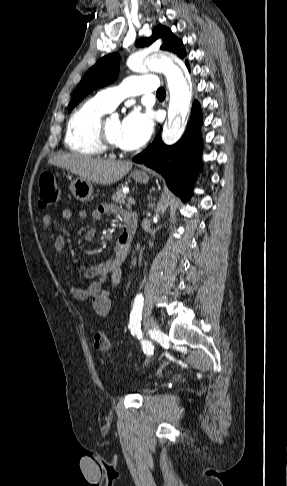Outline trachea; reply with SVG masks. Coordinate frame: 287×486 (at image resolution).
Wrapping results in <instances>:
<instances>
[{"instance_id":"1","label":"trachea","mask_w":287,"mask_h":486,"mask_svg":"<svg viewBox=\"0 0 287 486\" xmlns=\"http://www.w3.org/2000/svg\"><path fill=\"white\" fill-rule=\"evenodd\" d=\"M157 96H165L166 95V92H165V89L163 87L159 88L157 90V93H156Z\"/></svg>"}]
</instances>
